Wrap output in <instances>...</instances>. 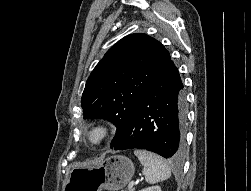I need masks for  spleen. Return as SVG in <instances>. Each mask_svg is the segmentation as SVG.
Instances as JSON below:
<instances>
[{"label": "spleen", "instance_id": "3e777b00", "mask_svg": "<svg viewBox=\"0 0 251 191\" xmlns=\"http://www.w3.org/2000/svg\"><path fill=\"white\" fill-rule=\"evenodd\" d=\"M134 153L140 163L144 165L143 175L148 183H157V181H163V179L170 177L171 169L160 155L146 151V149H135Z\"/></svg>", "mask_w": 251, "mask_h": 191}]
</instances>
